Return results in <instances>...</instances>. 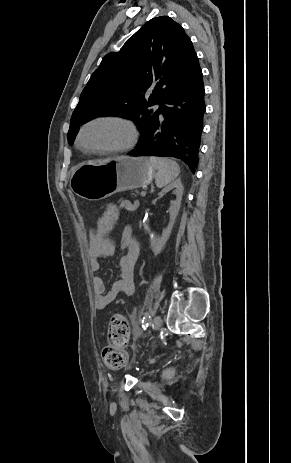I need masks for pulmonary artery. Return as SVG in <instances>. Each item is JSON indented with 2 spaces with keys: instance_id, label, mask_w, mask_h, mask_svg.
Listing matches in <instances>:
<instances>
[{
  "instance_id": "1",
  "label": "pulmonary artery",
  "mask_w": 291,
  "mask_h": 463,
  "mask_svg": "<svg viewBox=\"0 0 291 463\" xmlns=\"http://www.w3.org/2000/svg\"><path fill=\"white\" fill-rule=\"evenodd\" d=\"M158 107H159L158 105H155V106H154L155 109H158Z\"/></svg>"
}]
</instances>
